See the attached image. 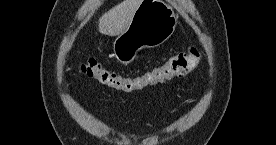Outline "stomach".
Here are the masks:
<instances>
[{"label":"stomach","mask_w":276,"mask_h":145,"mask_svg":"<svg viewBox=\"0 0 276 145\" xmlns=\"http://www.w3.org/2000/svg\"><path fill=\"white\" fill-rule=\"evenodd\" d=\"M177 24L174 10L162 0H142L127 29L113 43L115 57L123 64L143 48L163 44Z\"/></svg>","instance_id":"0dacf381"}]
</instances>
